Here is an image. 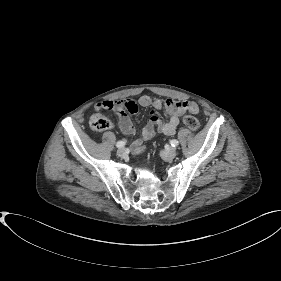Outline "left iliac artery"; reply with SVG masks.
Returning a JSON list of instances; mask_svg holds the SVG:
<instances>
[{
  "label": "left iliac artery",
  "instance_id": "44dca946",
  "mask_svg": "<svg viewBox=\"0 0 281 281\" xmlns=\"http://www.w3.org/2000/svg\"><path fill=\"white\" fill-rule=\"evenodd\" d=\"M170 143H171V145L173 146V147H176V146H178L179 145V142L177 141V140H171L170 141Z\"/></svg>",
  "mask_w": 281,
  "mask_h": 281
}]
</instances>
